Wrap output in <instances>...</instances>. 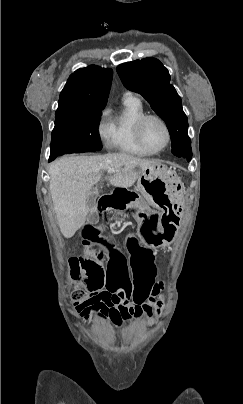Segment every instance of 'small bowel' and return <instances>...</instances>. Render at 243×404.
I'll return each mask as SVG.
<instances>
[{
	"label": "small bowel",
	"instance_id": "small-bowel-1",
	"mask_svg": "<svg viewBox=\"0 0 243 404\" xmlns=\"http://www.w3.org/2000/svg\"><path fill=\"white\" fill-rule=\"evenodd\" d=\"M83 235L87 240H101L98 230L91 225L86 227ZM108 248L109 260L106 266L98 270L94 263L83 264L90 294L76 306L77 313L86 321L95 316L117 327L142 315L153 320L163 307L160 296L162 284L155 282L153 250L141 247L134 238H130L128 243L129 259L119 250L110 246ZM77 258L83 259L84 256ZM128 264L132 268L131 272ZM136 293H142L144 298L132 304L130 299Z\"/></svg>",
	"mask_w": 243,
	"mask_h": 404
}]
</instances>
